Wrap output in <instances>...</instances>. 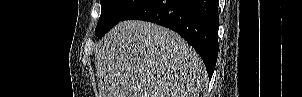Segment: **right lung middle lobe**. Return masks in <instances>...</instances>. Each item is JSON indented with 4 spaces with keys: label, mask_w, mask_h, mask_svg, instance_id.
<instances>
[{
    "label": "right lung middle lobe",
    "mask_w": 302,
    "mask_h": 97,
    "mask_svg": "<svg viewBox=\"0 0 302 97\" xmlns=\"http://www.w3.org/2000/svg\"><path fill=\"white\" fill-rule=\"evenodd\" d=\"M142 0H100L101 16L95 29L98 38H102L112 27Z\"/></svg>",
    "instance_id": "1"
}]
</instances>
